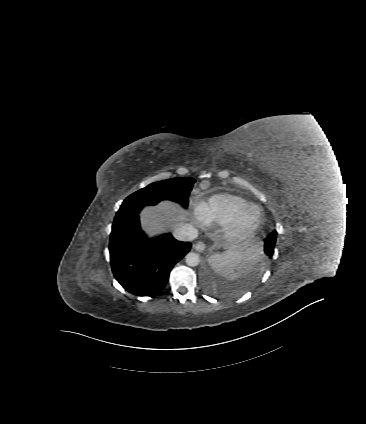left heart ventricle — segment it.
Masks as SVG:
<instances>
[{
  "mask_svg": "<svg viewBox=\"0 0 366 424\" xmlns=\"http://www.w3.org/2000/svg\"><path fill=\"white\" fill-rule=\"evenodd\" d=\"M255 216H256L255 210L248 211L244 218V224L247 226L252 224L253 221L255 220Z\"/></svg>",
  "mask_w": 366,
  "mask_h": 424,
  "instance_id": "1",
  "label": "left heart ventricle"
}]
</instances>
